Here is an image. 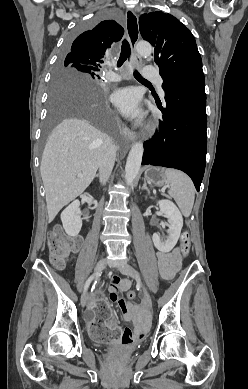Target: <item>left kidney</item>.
<instances>
[{"instance_id":"left-kidney-1","label":"left kidney","mask_w":248,"mask_h":389,"mask_svg":"<svg viewBox=\"0 0 248 389\" xmlns=\"http://www.w3.org/2000/svg\"><path fill=\"white\" fill-rule=\"evenodd\" d=\"M161 213L168 219V236L165 240L161 239L157 233H154L152 240L154 246L161 252H170L176 245L181 229L183 227V218L177 206L170 200L158 201Z\"/></svg>"}]
</instances>
